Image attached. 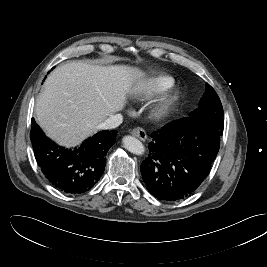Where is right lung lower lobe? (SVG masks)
I'll list each match as a JSON object with an SVG mask.
<instances>
[{"mask_svg": "<svg viewBox=\"0 0 267 267\" xmlns=\"http://www.w3.org/2000/svg\"><path fill=\"white\" fill-rule=\"evenodd\" d=\"M31 142L36 161L47 180L69 194L90 190L102 176L106 153L114 144L116 131H102L88 138L79 148L67 150L49 140L32 120Z\"/></svg>", "mask_w": 267, "mask_h": 267, "instance_id": "right-lung-lower-lobe-1", "label": "right lung lower lobe"}]
</instances>
